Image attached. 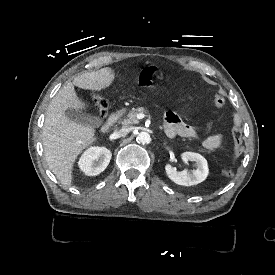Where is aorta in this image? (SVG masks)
<instances>
[{
    "label": "aorta",
    "mask_w": 275,
    "mask_h": 275,
    "mask_svg": "<svg viewBox=\"0 0 275 275\" xmlns=\"http://www.w3.org/2000/svg\"><path fill=\"white\" fill-rule=\"evenodd\" d=\"M136 141L139 144H146L150 141V135L147 132H139V134L136 137Z\"/></svg>",
    "instance_id": "obj_1"
}]
</instances>
